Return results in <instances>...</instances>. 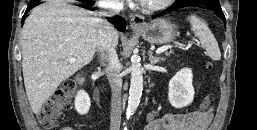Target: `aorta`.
I'll return each instance as SVG.
<instances>
[{"label":"aorta","mask_w":257,"mask_h":130,"mask_svg":"<svg viewBox=\"0 0 257 130\" xmlns=\"http://www.w3.org/2000/svg\"><path fill=\"white\" fill-rule=\"evenodd\" d=\"M131 82L126 116L129 118L137 109L143 90V73L138 56L131 57Z\"/></svg>","instance_id":"762f6f07"}]
</instances>
